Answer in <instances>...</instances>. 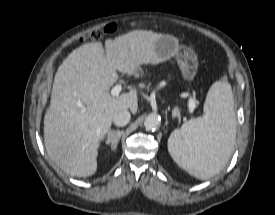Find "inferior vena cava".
<instances>
[{
	"mask_svg": "<svg viewBox=\"0 0 275 215\" xmlns=\"http://www.w3.org/2000/svg\"><path fill=\"white\" fill-rule=\"evenodd\" d=\"M130 118V113L127 110H122L114 115L113 122L116 126L122 127L129 123Z\"/></svg>",
	"mask_w": 275,
	"mask_h": 215,
	"instance_id": "1",
	"label": "inferior vena cava"
}]
</instances>
